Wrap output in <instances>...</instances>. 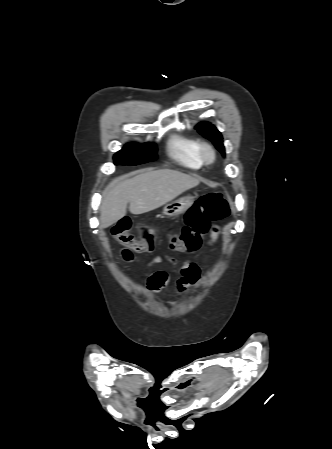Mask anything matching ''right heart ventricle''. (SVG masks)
<instances>
[{
	"label": "right heart ventricle",
	"mask_w": 332,
	"mask_h": 449,
	"mask_svg": "<svg viewBox=\"0 0 332 449\" xmlns=\"http://www.w3.org/2000/svg\"><path fill=\"white\" fill-rule=\"evenodd\" d=\"M198 146V139L174 133L168 140L167 148L170 157L177 163L191 169H198L203 164L198 155Z\"/></svg>",
	"instance_id": "1"
}]
</instances>
